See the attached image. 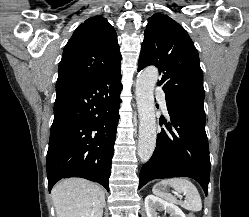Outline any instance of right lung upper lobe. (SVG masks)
<instances>
[{
  "label": "right lung upper lobe",
  "instance_id": "obj_1",
  "mask_svg": "<svg viewBox=\"0 0 249 217\" xmlns=\"http://www.w3.org/2000/svg\"><path fill=\"white\" fill-rule=\"evenodd\" d=\"M121 59L113 26L102 16L91 17L75 30L66 44L57 82L102 78L121 69Z\"/></svg>",
  "mask_w": 249,
  "mask_h": 217
}]
</instances>
